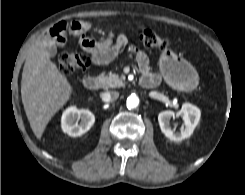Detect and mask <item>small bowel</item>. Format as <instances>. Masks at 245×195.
Instances as JSON below:
<instances>
[{
  "instance_id": "small-bowel-1",
  "label": "small bowel",
  "mask_w": 245,
  "mask_h": 195,
  "mask_svg": "<svg viewBox=\"0 0 245 195\" xmlns=\"http://www.w3.org/2000/svg\"><path fill=\"white\" fill-rule=\"evenodd\" d=\"M90 29L91 24L86 21L59 22L51 28L50 36L54 40V46H62L65 43V33L68 30L78 35L81 48L91 54V60L95 65L111 62L128 45V39L124 34L115 35L109 31L105 39L98 41L85 35ZM132 51L140 70L143 73H149L147 54L136 46H132Z\"/></svg>"
}]
</instances>
